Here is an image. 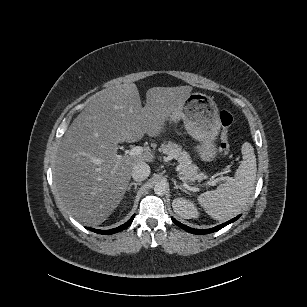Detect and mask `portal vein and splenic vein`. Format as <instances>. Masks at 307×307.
I'll return each mask as SVG.
<instances>
[{"mask_svg": "<svg viewBox=\"0 0 307 307\" xmlns=\"http://www.w3.org/2000/svg\"><path fill=\"white\" fill-rule=\"evenodd\" d=\"M143 153V147L142 146H135L133 147L130 151H129V155L130 156H136V155H140ZM181 180H183V178H180ZM226 177H222V180H225ZM230 180V178H229ZM208 185H211V186H215L216 185V182L212 181V182H208L207 183Z\"/></svg>", "mask_w": 307, "mask_h": 307, "instance_id": "obj_1", "label": "portal vein and splenic vein"}]
</instances>
